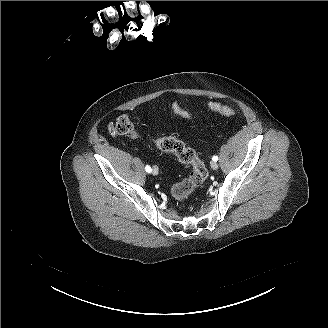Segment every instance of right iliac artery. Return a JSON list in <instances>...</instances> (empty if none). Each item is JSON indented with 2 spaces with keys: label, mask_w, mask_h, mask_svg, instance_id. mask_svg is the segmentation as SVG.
Masks as SVG:
<instances>
[{
  "label": "right iliac artery",
  "mask_w": 328,
  "mask_h": 328,
  "mask_svg": "<svg viewBox=\"0 0 328 328\" xmlns=\"http://www.w3.org/2000/svg\"><path fill=\"white\" fill-rule=\"evenodd\" d=\"M145 170H146V172H148V173H151V171H152L151 167L148 166V165L145 167Z\"/></svg>",
  "instance_id": "1"
}]
</instances>
